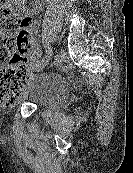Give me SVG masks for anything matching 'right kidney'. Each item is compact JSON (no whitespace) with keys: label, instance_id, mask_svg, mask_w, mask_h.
<instances>
[{"label":"right kidney","instance_id":"right-kidney-1","mask_svg":"<svg viewBox=\"0 0 133 173\" xmlns=\"http://www.w3.org/2000/svg\"><path fill=\"white\" fill-rule=\"evenodd\" d=\"M22 4H24L25 0H20Z\"/></svg>","mask_w":133,"mask_h":173}]
</instances>
